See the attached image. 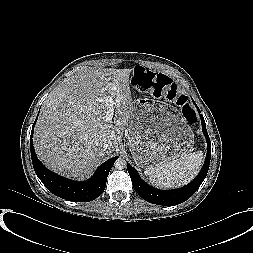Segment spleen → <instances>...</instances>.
<instances>
[{
    "mask_svg": "<svg viewBox=\"0 0 253 253\" xmlns=\"http://www.w3.org/2000/svg\"><path fill=\"white\" fill-rule=\"evenodd\" d=\"M203 152L197 151L181 157L160 162L145 169L147 179L156 187L171 188L192 180L203 164Z\"/></svg>",
    "mask_w": 253,
    "mask_h": 253,
    "instance_id": "1",
    "label": "spleen"
}]
</instances>
